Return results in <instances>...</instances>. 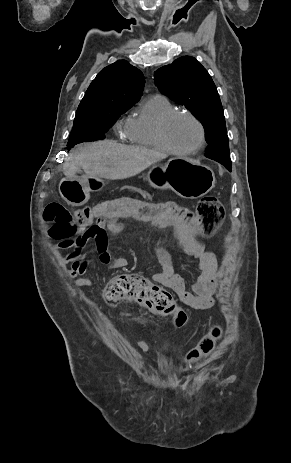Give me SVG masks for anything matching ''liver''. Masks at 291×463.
<instances>
[{
    "instance_id": "1",
    "label": "liver",
    "mask_w": 291,
    "mask_h": 463,
    "mask_svg": "<svg viewBox=\"0 0 291 463\" xmlns=\"http://www.w3.org/2000/svg\"><path fill=\"white\" fill-rule=\"evenodd\" d=\"M165 157L166 154L155 150L104 140L83 145L71 154L64 165V174L67 178H74L82 168L90 178L126 179Z\"/></svg>"
}]
</instances>
